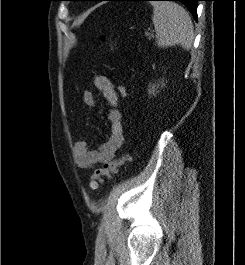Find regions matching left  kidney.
Wrapping results in <instances>:
<instances>
[{
    "instance_id": "1",
    "label": "left kidney",
    "mask_w": 245,
    "mask_h": 265,
    "mask_svg": "<svg viewBox=\"0 0 245 265\" xmlns=\"http://www.w3.org/2000/svg\"><path fill=\"white\" fill-rule=\"evenodd\" d=\"M162 83V82H161ZM162 85H164L163 83H162ZM156 85H150L149 86V89H148V93H149V95L150 94H154L155 93V91H156ZM158 87V86H157Z\"/></svg>"
}]
</instances>
